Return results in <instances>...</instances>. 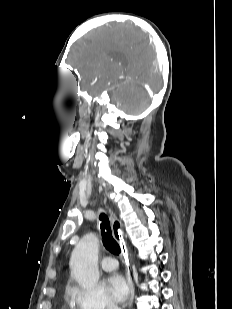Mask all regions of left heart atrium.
I'll return each mask as SVG.
<instances>
[{
	"instance_id": "left-heart-atrium-1",
	"label": "left heart atrium",
	"mask_w": 232,
	"mask_h": 309,
	"mask_svg": "<svg viewBox=\"0 0 232 309\" xmlns=\"http://www.w3.org/2000/svg\"><path fill=\"white\" fill-rule=\"evenodd\" d=\"M107 287L113 298L118 302H125L130 296L129 283L120 273H113L108 277Z\"/></svg>"
}]
</instances>
